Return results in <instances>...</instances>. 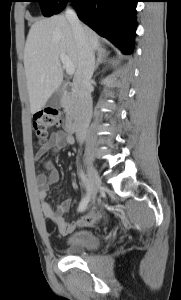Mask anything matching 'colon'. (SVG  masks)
Segmentation results:
<instances>
[{
    "label": "colon",
    "mask_w": 181,
    "mask_h": 300,
    "mask_svg": "<svg viewBox=\"0 0 181 300\" xmlns=\"http://www.w3.org/2000/svg\"><path fill=\"white\" fill-rule=\"evenodd\" d=\"M62 123L60 112L55 108H45L33 115L32 125L36 132L38 141L45 143L48 130L52 127L59 126Z\"/></svg>",
    "instance_id": "1"
}]
</instances>
